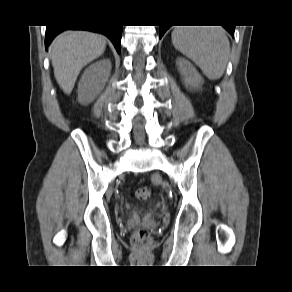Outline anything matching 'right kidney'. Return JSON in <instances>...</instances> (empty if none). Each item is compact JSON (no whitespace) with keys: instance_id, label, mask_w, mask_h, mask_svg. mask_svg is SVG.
<instances>
[{"instance_id":"obj_1","label":"right kidney","mask_w":292,"mask_h":292,"mask_svg":"<svg viewBox=\"0 0 292 292\" xmlns=\"http://www.w3.org/2000/svg\"><path fill=\"white\" fill-rule=\"evenodd\" d=\"M111 73V61L101 59L89 65L78 84V101L88 104L101 92Z\"/></svg>"}]
</instances>
